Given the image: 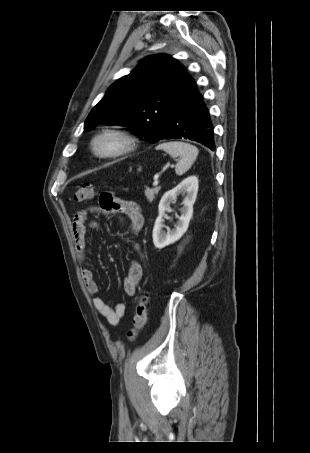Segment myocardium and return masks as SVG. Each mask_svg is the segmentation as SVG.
Masks as SVG:
<instances>
[{"instance_id":"obj_1","label":"myocardium","mask_w":310,"mask_h":453,"mask_svg":"<svg viewBox=\"0 0 310 453\" xmlns=\"http://www.w3.org/2000/svg\"><path fill=\"white\" fill-rule=\"evenodd\" d=\"M111 141L109 147H103L104 141ZM137 147V139L124 125L112 124L99 130L90 140V150L98 158L110 159L126 155Z\"/></svg>"}]
</instances>
